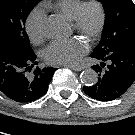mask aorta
Segmentation results:
<instances>
[{"mask_svg": "<svg viewBox=\"0 0 135 135\" xmlns=\"http://www.w3.org/2000/svg\"><path fill=\"white\" fill-rule=\"evenodd\" d=\"M64 34V26L61 22L51 19L44 25V35L51 40L59 39ZM81 82L84 85L92 86L96 84L98 75L95 70L88 68L82 71L80 75Z\"/></svg>", "mask_w": 135, "mask_h": 135, "instance_id": "obj_1", "label": "aorta"}]
</instances>
